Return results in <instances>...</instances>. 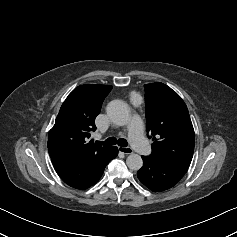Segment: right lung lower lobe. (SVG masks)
<instances>
[{
	"mask_svg": "<svg viewBox=\"0 0 237 237\" xmlns=\"http://www.w3.org/2000/svg\"><path fill=\"white\" fill-rule=\"evenodd\" d=\"M118 154L116 147H110L105 153L86 160L74 159L58 152H50L52 163L59 177L69 186L86 189L96 183L103 174L106 165Z\"/></svg>",
	"mask_w": 237,
	"mask_h": 237,
	"instance_id": "right-lung-lower-lobe-1",
	"label": "right lung lower lobe"
}]
</instances>
